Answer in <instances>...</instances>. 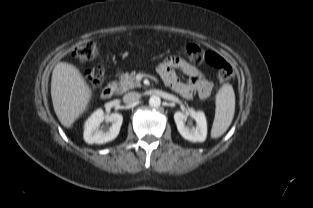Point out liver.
Instances as JSON below:
<instances>
[{
	"label": "liver",
	"instance_id": "1",
	"mask_svg": "<svg viewBox=\"0 0 313 208\" xmlns=\"http://www.w3.org/2000/svg\"><path fill=\"white\" fill-rule=\"evenodd\" d=\"M51 97L59 121L70 128L85 112L91 90L75 66L59 62L52 72Z\"/></svg>",
	"mask_w": 313,
	"mask_h": 208
}]
</instances>
